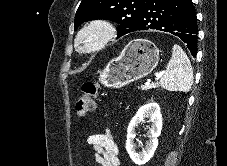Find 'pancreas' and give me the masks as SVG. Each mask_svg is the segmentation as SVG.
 I'll list each match as a JSON object with an SVG mask.
<instances>
[{"label":"pancreas","mask_w":227,"mask_h":166,"mask_svg":"<svg viewBox=\"0 0 227 166\" xmlns=\"http://www.w3.org/2000/svg\"><path fill=\"white\" fill-rule=\"evenodd\" d=\"M156 87H157V84L142 85V86H141V89H142V90H149V89L156 88Z\"/></svg>","instance_id":"cf45deb5"}]
</instances>
